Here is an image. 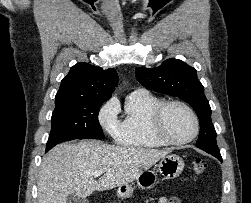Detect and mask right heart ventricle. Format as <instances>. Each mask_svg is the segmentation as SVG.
I'll return each mask as SVG.
<instances>
[{
    "label": "right heart ventricle",
    "mask_w": 251,
    "mask_h": 203,
    "mask_svg": "<svg viewBox=\"0 0 251 203\" xmlns=\"http://www.w3.org/2000/svg\"><path fill=\"white\" fill-rule=\"evenodd\" d=\"M162 103L159 98L147 94H130L126 100L125 116L115 134L116 142L132 149H153L166 144L150 132L149 122L153 109Z\"/></svg>",
    "instance_id": "obj_1"
}]
</instances>
